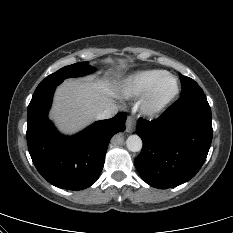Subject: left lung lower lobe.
<instances>
[{
    "instance_id": "0a47b994",
    "label": "left lung lower lobe",
    "mask_w": 233,
    "mask_h": 233,
    "mask_svg": "<svg viewBox=\"0 0 233 233\" xmlns=\"http://www.w3.org/2000/svg\"><path fill=\"white\" fill-rule=\"evenodd\" d=\"M136 133L143 148L134 164L146 183L167 189L189 181L206 160L212 141L205 94L183 95L151 122L139 118Z\"/></svg>"
}]
</instances>
